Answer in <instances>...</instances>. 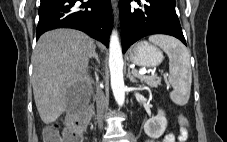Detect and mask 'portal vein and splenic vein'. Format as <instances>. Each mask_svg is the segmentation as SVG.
I'll return each mask as SVG.
<instances>
[{
	"label": "portal vein and splenic vein",
	"mask_w": 227,
	"mask_h": 142,
	"mask_svg": "<svg viewBox=\"0 0 227 142\" xmlns=\"http://www.w3.org/2000/svg\"><path fill=\"white\" fill-rule=\"evenodd\" d=\"M146 73H147L146 70H141V71H138V72L136 70H134V74H138L139 76H144Z\"/></svg>",
	"instance_id": "portal-vein-and-splenic-vein-1"
}]
</instances>
